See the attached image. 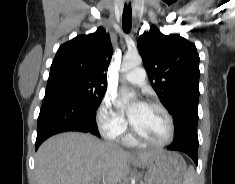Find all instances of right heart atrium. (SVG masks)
Listing matches in <instances>:
<instances>
[{"label":"right heart atrium","instance_id":"right-heart-atrium-1","mask_svg":"<svg viewBox=\"0 0 235 184\" xmlns=\"http://www.w3.org/2000/svg\"><path fill=\"white\" fill-rule=\"evenodd\" d=\"M96 123L101 134L110 139L121 137L127 128L125 116L115 108L112 96H106L98 107Z\"/></svg>","mask_w":235,"mask_h":184}]
</instances>
